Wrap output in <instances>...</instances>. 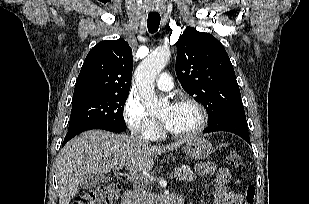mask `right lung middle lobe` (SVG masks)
I'll return each instance as SVG.
<instances>
[{"label": "right lung middle lobe", "mask_w": 309, "mask_h": 204, "mask_svg": "<svg viewBox=\"0 0 309 204\" xmlns=\"http://www.w3.org/2000/svg\"><path fill=\"white\" fill-rule=\"evenodd\" d=\"M127 97L128 94H109L72 103L69 131L84 126L126 130L123 108Z\"/></svg>", "instance_id": "right-lung-middle-lobe-1"}]
</instances>
